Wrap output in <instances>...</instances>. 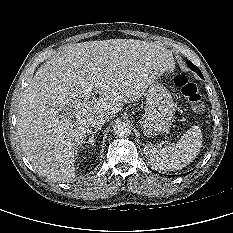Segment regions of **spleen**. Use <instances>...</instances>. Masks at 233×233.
<instances>
[{
	"label": "spleen",
	"instance_id": "obj_1",
	"mask_svg": "<svg viewBox=\"0 0 233 233\" xmlns=\"http://www.w3.org/2000/svg\"><path fill=\"white\" fill-rule=\"evenodd\" d=\"M202 133L199 126H192L177 143L158 149L152 144L144 146V153L157 170L174 171L190 164L202 148Z\"/></svg>",
	"mask_w": 233,
	"mask_h": 233
}]
</instances>
